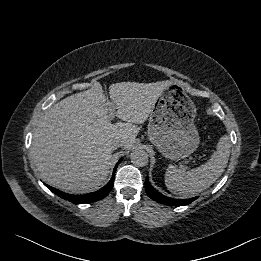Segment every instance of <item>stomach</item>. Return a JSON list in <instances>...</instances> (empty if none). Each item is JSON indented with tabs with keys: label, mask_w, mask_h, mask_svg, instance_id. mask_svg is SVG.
I'll use <instances>...</instances> for the list:
<instances>
[{
	"label": "stomach",
	"mask_w": 261,
	"mask_h": 261,
	"mask_svg": "<svg viewBox=\"0 0 261 261\" xmlns=\"http://www.w3.org/2000/svg\"><path fill=\"white\" fill-rule=\"evenodd\" d=\"M169 82L151 110L148 136L165 157L180 160L191 155L199 145L194 125L197 109L182 82Z\"/></svg>",
	"instance_id": "obj_1"
}]
</instances>
